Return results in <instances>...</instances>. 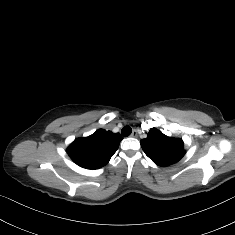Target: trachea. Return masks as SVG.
Instances as JSON below:
<instances>
[{
  "label": "trachea",
  "mask_w": 235,
  "mask_h": 235,
  "mask_svg": "<svg viewBox=\"0 0 235 235\" xmlns=\"http://www.w3.org/2000/svg\"><path fill=\"white\" fill-rule=\"evenodd\" d=\"M121 133L124 137H127L132 133V129L130 126H125L124 128H122Z\"/></svg>",
  "instance_id": "trachea-1"
}]
</instances>
